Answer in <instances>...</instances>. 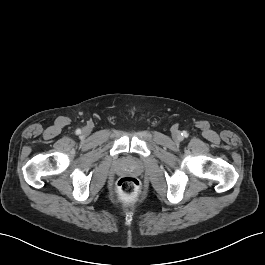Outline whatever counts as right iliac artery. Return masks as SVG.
<instances>
[{"label":"right iliac artery","instance_id":"obj_1","mask_svg":"<svg viewBox=\"0 0 265 265\" xmlns=\"http://www.w3.org/2000/svg\"><path fill=\"white\" fill-rule=\"evenodd\" d=\"M81 133V130L80 129H77L76 130V134H80Z\"/></svg>","mask_w":265,"mask_h":265}]
</instances>
